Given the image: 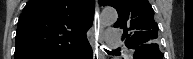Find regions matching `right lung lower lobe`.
I'll return each mask as SVG.
<instances>
[{"mask_svg":"<svg viewBox=\"0 0 193 59\" xmlns=\"http://www.w3.org/2000/svg\"><path fill=\"white\" fill-rule=\"evenodd\" d=\"M92 58L93 52L89 42L87 41L84 45H82L74 53L67 56L65 59H92Z\"/></svg>","mask_w":193,"mask_h":59,"instance_id":"1","label":"right lung lower lobe"}]
</instances>
